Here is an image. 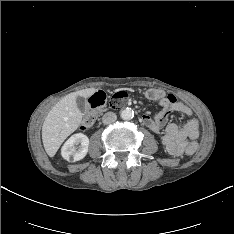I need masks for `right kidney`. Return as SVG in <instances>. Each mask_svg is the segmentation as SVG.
<instances>
[{
	"label": "right kidney",
	"mask_w": 234,
	"mask_h": 234,
	"mask_svg": "<svg viewBox=\"0 0 234 234\" xmlns=\"http://www.w3.org/2000/svg\"><path fill=\"white\" fill-rule=\"evenodd\" d=\"M89 139L85 134L77 133L72 135L62 146L61 155L67 161H79L88 152Z\"/></svg>",
	"instance_id": "ca27d5eb"
}]
</instances>
